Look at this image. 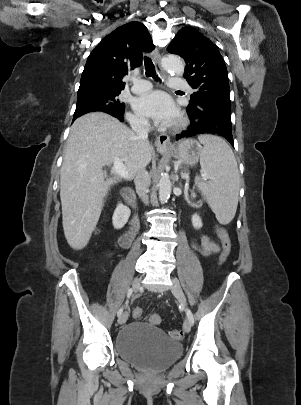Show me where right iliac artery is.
<instances>
[{
	"instance_id": "1",
	"label": "right iliac artery",
	"mask_w": 301,
	"mask_h": 405,
	"mask_svg": "<svg viewBox=\"0 0 301 405\" xmlns=\"http://www.w3.org/2000/svg\"><path fill=\"white\" fill-rule=\"evenodd\" d=\"M132 293H133V290H132V288H130V289L128 290V292H127V301H126V303L128 302V299L131 297ZM123 309H124V307H121V308L118 310V312H117V316H118V317L121 316V314H122V312H123Z\"/></svg>"
}]
</instances>
